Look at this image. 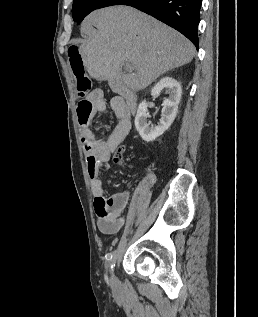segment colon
I'll return each instance as SVG.
<instances>
[{
	"mask_svg": "<svg viewBox=\"0 0 258 317\" xmlns=\"http://www.w3.org/2000/svg\"><path fill=\"white\" fill-rule=\"evenodd\" d=\"M68 60L75 77L77 93L79 97H81L82 100H84L86 99L87 95L91 91L92 82L86 71L83 58L80 53V49L77 45L73 44L69 47ZM123 154H124V147H119L116 150L114 159L117 162L123 163L124 161Z\"/></svg>",
	"mask_w": 258,
	"mask_h": 317,
	"instance_id": "1",
	"label": "colon"
}]
</instances>
